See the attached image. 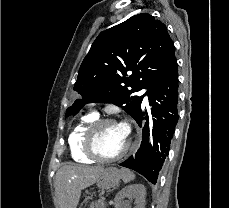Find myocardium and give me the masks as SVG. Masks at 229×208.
Returning a JSON list of instances; mask_svg holds the SVG:
<instances>
[{
  "mask_svg": "<svg viewBox=\"0 0 229 208\" xmlns=\"http://www.w3.org/2000/svg\"><path fill=\"white\" fill-rule=\"evenodd\" d=\"M106 124L119 125L118 122L115 121L114 119L97 118L88 127L85 136L86 143H84V148L81 149L82 153H86V158H95L103 162H113L126 157L130 152V150L132 149L133 143L131 139L128 138V142L126 146L120 153H117L116 157H100V152H94V147H95L94 139H98L101 128Z\"/></svg>",
  "mask_w": 229,
  "mask_h": 208,
  "instance_id": "myocardium-1",
  "label": "myocardium"
}]
</instances>
